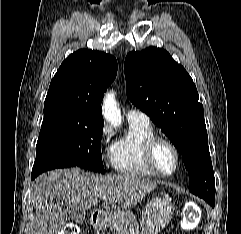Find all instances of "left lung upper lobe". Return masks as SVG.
Instances as JSON below:
<instances>
[{
    "mask_svg": "<svg viewBox=\"0 0 241 234\" xmlns=\"http://www.w3.org/2000/svg\"><path fill=\"white\" fill-rule=\"evenodd\" d=\"M127 96L161 128L182 155L189 191L215 203V178L203 105L186 70L163 49L131 52L124 63Z\"/></svg>",
    "mask_w": 241,
    "mask_h": 234,
    "instance_id": "left-lung-upper-lobe-1",
    "label": "left lung upper lobe"
}]
</instances>
